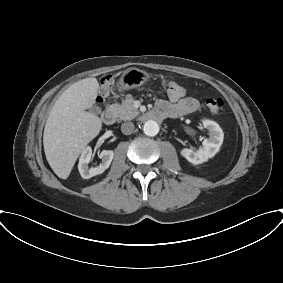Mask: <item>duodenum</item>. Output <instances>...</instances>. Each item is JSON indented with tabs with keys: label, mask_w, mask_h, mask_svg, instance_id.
<instances>
[{
	"label": "duodenum",
	"mask_w": 283,
	"mask_h": 283,
	"mask_svg": "<svg viewBox=\"0 0 283 283\" xmlns=\"http://www.w3.org/2000/svg\"><path fill=\"white\" fill-rule=\"evenodd\" d=\"M115 118H116V112L112 108H107L101 114V120L105 124L113 123ZM165 118H173L172 117V112L171 111H156V110H153V111L145 113L142 116V119L144 121H149L150 120V121H155V122H160V121H162Z\"/></svg>",
	"instance_id": "410a0bca"
}]
</instances>
